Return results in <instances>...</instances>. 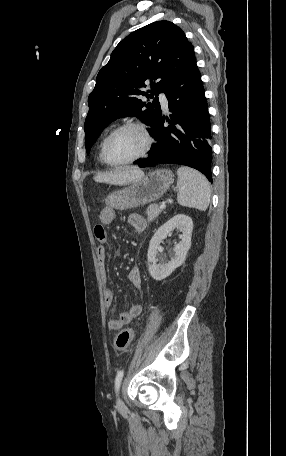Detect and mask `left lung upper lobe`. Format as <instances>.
Here are the masks:
<instances>
[{
    "instance_id": "obj_1",
    "label": "left lung upper lobe",
    "mask_w": 286,
    "mask_h": 456,
    "mask_svg": "<svg viewBox=\"0 0 286 456\" xmlns=\"http://www.w3.org/2000/svg\"><path fill=\"white\" fill-rule=\"evenodd\" d=\"M194 59L192 44L169 21L151 23L122 40L99 71L88 98L84 124L87 154L103 129L117 118L138 116L153 128L161 116L158 94L166 93ZM146 84L151 85L150 94L139 89ZM140 95L153 101L144 102L138 98Z\"/></svg>"
}]
</instances>
